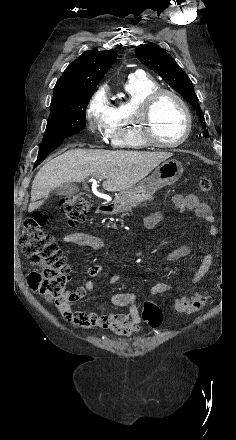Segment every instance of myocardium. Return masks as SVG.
<instances>
[{
  "instance_id": "obj_1",
  "label": "myocardium",
  "mask_w": 236,
  "mask_h": 440,
  "mask_svg": "<svg viewBox=\"0 0 236 440\" xmlns=\"http://www.w3.org/2000/svg\"><path fill=\"white\" fill-rule=\"evenodd\" d=\"M167 95L175 99L180 105L185 116V129L180 139L174 142H162L155 136L153 123L154 107L162 96ZM139 123V130L143 140L152 147L174 148L182 145L189 137L192 129V116L184 99L175 91L167 88H156L148 94L141 102L136 115Z\"/></svg>"
}]
</instances>
